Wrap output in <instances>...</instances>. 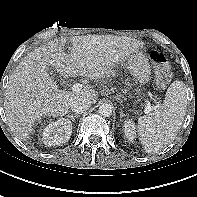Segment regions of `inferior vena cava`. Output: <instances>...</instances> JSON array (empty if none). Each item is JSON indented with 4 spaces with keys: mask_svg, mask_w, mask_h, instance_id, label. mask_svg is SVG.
I'll use <instances>...</instances> for the list:
<instances>
[{
    "mask_svg": "<svg viewBox=\"0 0 197 197\" xmlns=\"http://www.w3.org/2000/svg\"><path fill=\"white\" fill-rule=\"evenodd\" d=\"M91 106V101L85 97H78L72 101L70 108L75 114H82Z\"/></svg>",
    "mask_w": 197,
    "mask_h": 197,
    "instance_id": "inferior-vena-cava-1",
    "label": "inferior vena cava"
}]
</instances>
